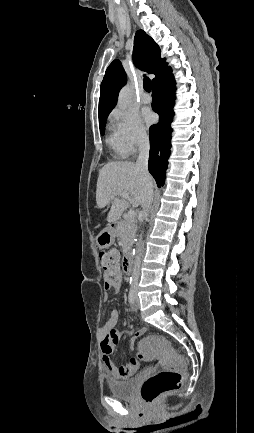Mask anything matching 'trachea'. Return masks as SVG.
Returning a JSON list of instances; mask_svg holds the SVG:
<instances>
[{
  "mask_svg": "<svg viewBox=\"0 0 254 433\" xmlns=\"http://www.w3.org/2000/svg\"><path fill=\"white\" fill-rule=\"evenodd\" d=\"M144 89L147 91V92H150L151 91V81H150V79L148 78V77H144Z\"/></svg>",
  "mask_w": 254,
  "mask_h": 433,
  "instance_id": "1",
  "label": "trachea"
}]
</instances>
